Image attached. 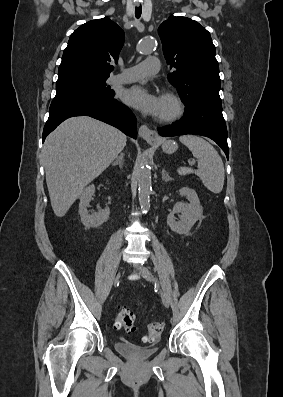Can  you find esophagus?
I'll return each mask as SVG.
<instances>
[{
    "instance_id": "1",
    "label": "esophagus",
    "mask_w": 283,
    "mask_h": 397,
    "mask_svg": "<svg viewBox=\"0 0 283 397\" xmlns=\"http://www.w3.org/2000/svg\"><path fill=\"white\" fill-rule=\"evenodd\" d=\"M139 136L149 143L156 142L158 140V133L155 130H151L147 125H141L139 127Z\"/></svg>"
}]
</instances>
